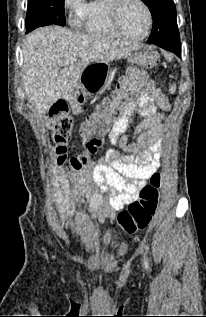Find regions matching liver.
<instances>
[{
  "label": "liver",
  "mask_w": 206,
  "mask_h": 317,
  "mask_svg": "<svg viewBox=\"0 0 206 317\" xmlns=\"http://www.w3.org/2000/svg\"><path fill=\"white\" fill-rule=\"evenodd\" d=\"M98 34H84L58 26L38 28L23 43V85L26 98L39 115L63 98L77 99L82 71L93 62L108 64L141 48ZM74 57V61H68ZM59 67L62 69L59 71Z\"/></svg>",
  "instance_id": "6515ba94"
}]
</instances>
